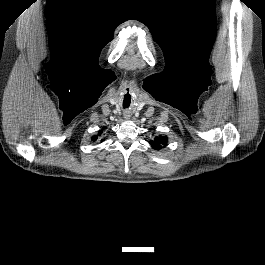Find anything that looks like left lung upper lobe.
<instances>
[{
  "label": "left lung upper lobe",
  "mask_w": 265,
  "mask_h": 265,
  "mask_svg": "<svg viewBox=\"0 0 265 265\" xmlns=\"http://www.w3.org/2000/svg\"><path fill=\"white\" fill-rule=\"evenodd\" d=\"M168 141V138L165 136H159L154 139V141H151L152 147L154 149H161L162 147L166 146Z\"/></svg>",
  "instance_id": "left-lung-upper-lobe-1"
}]
</instances>
